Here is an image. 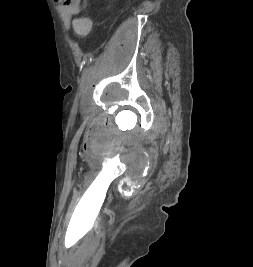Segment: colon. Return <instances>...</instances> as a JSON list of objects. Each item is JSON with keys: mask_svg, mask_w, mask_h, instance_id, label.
Wrapping results in <instances>:
<instances>
[{"mask_svg": "<svg viewBox=\"0 0 253 267\" xmlns=\"http://www.w3.org/2000/svg\"><path fill=\"white\" fill-rule=\"evenodd\" d=\"M74 33L80 37H86L92 29V21L89 17L81 16L77 17L72 22Z\"/></svg>", "mask_w": 253, "mask_h": 267, "instance_id": "1", "label": "colon"}]
</instances>
